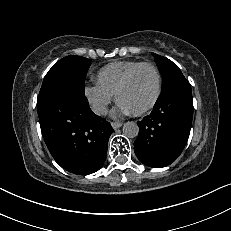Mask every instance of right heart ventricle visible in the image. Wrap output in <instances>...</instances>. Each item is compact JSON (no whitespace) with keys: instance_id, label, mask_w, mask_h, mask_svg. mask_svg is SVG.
I'll return each instance as SVG.
<instances>
[{"instance_id":"e07e8e85","label":"right heart ventricle","mask_w":231,"mask_h":231,"mask_svg":"<svg viewBox=\"0 0 231 231\" xmlns=\"http://www.w3.org/2000/svg\"><path fill=\"white\" fill-rule=\"evenodd\" d=\"M140 63L142 62L132 60L109 63L98 71L96 75L97 83L114 95L126 75Z\"/></svg>"}]
</instances>
